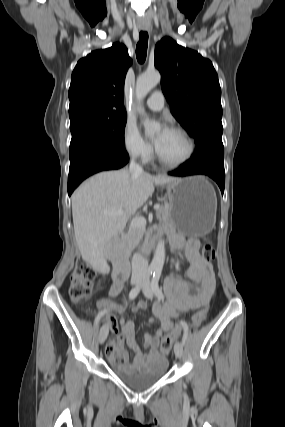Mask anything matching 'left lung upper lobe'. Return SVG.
<instances>
[{
    "label": "left lung upper lobe",
    "instance_id": "5c2ea615",
    "mask_svg": "<svg viewBox=\"0 0 285 427\" xmlns=\"http://www.w3.org/2000/svg\"><path fill=\"white\" fill-rule=\"evenodd\" d=\"M154 63L172 114L197 147L222 142L221 89L211 61L165 37L156 44Z\"/></svg>",
    "mask_w": 285,
    "mask_h": 427
}]
</instances>
